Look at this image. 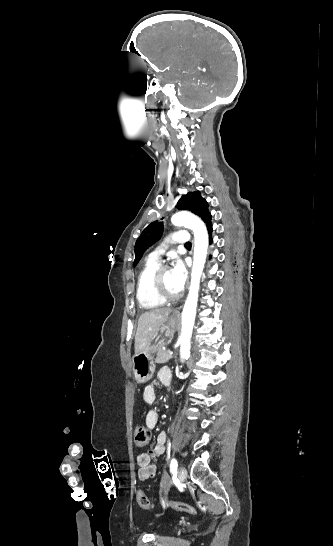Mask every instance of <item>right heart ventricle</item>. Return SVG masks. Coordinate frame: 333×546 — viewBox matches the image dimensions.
Wrapping results in <instances>:
<instances>
[{
  "instance_id": "obj_1",
  "label": "right heart ventricle",
  "mask_w": 333,
  "mask_h": 546,
  "mask_svg": "<svg viewBox=\"0 0 333 546\" xmlns=\"http://www.w3.org/2000/svg\"><path fill=\"white\" fill-rule=\"evenodd\" d=\"M158 268L159 262L148 258L139 273L136 298L139 305L144 309H154L165 303L154 294L152 289V278Z\"/></svg>"
}]
</instances>
